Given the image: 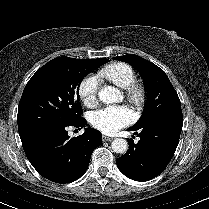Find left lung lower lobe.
Masks as SVG:
<instances>
[{
	"mask_svg": "<svg viewBox=\"0 0 209 209\" xmlns=\"http://www.w3.org/2000/svg\"><path fill=\"white\" fill-rule=\"evenodd\" d=\"M182 126L183 120H159L129 128L140 140L137 144L128 140L126 154L116 159L119 170L136 181H148L161 174L174 155Z\"/></svg>",
	"mask_w": 209,
	"mask_h": 209,
	"instance_id": "left-lung-lower-lobe-1",
	"label": "left lung lower lobe"
}]
</instances>
